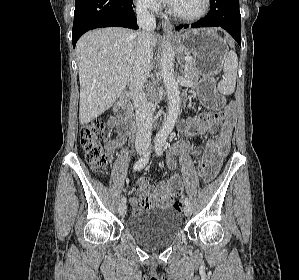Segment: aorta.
<instances>
[{
  "instance_id": "1",
  "label": "aorta",
  "mask_w": 299,
  "mask_h": 280,
  "mask_svg": "<svg viewBox=\"0 0 299 280\" xmlns=\"http://www.w3.org/2000/svg\"><path fill=\"white\" fill-rule=\"evenodd\" d=\"M160 68L168 96V116L156 138L165 140L171 133L180 111V92L174 74L173 49L170 44H166L162 51Z\"/></svg>"
}]
</instances>
